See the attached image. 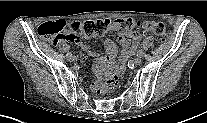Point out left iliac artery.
Instances as JSON below:
<instances>
[{"mask_svg":"<svg viewBox=\"0 0 207 123\" xmlns=\"http://www.w3.org/2000/svg\"><path fill=\"white\" fill-rule=\"evenodd\" d=\"M143 55H144V52H143L142 50H139V51L137 52V56H139V57H143Z\"/></svg>","mask_w":207,"mask_h":123,"instance_id":"left-iliac-artery-1","label":"left iliac artery"}]
</instances>
